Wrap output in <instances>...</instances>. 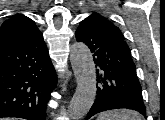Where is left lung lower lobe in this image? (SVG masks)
Segmentation results:
<instances>
[{"mask_svg":"<svg viewBox=\"0 0 165 120\" xmlns=\"http://www.w3.org/2000/svg\"><path fill=\"white\" fill-rule=\"evenodd\" d=\"M75 36L88 46L98 67L97 96L86 119L118 108L133 109L145 115L136 66L124 40L105 32L90 16L81 21Z\"/></svg>","mask_w":165,"mask_h":120,"instance_id":"0a47b994","label":"left lung lower lobe"}]
</instances>
